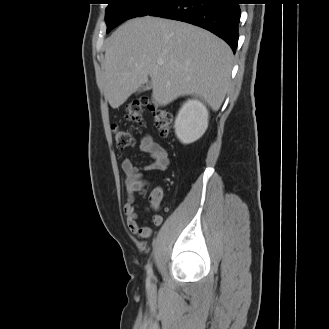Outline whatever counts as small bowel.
<instances>
[{
	"instance_id": "small-bowel-1",
	"label": "small bowel",
	"mask_w": 329,
	"mask_h": 329,
	"mask_svg": "<svg viewBox=\"0 0 329 329\" xmlns=\"http://www.w3.org/2000/svg\"><path fill=\"white\" fill-rule=\"evenodd\" d=\"M140 150L147 154L151 162L143 167L146 171H165L170 163L169 156L165 148H163L158 142H156L150 136H143L140 140ZM122 170L125 175V192L126 203L123 211L126 215V222L128 228L138 237L147 239L152 233V229L148 226H140L138 224V212L135 206V192L145 187L148 182L143 179V174L140 168L134 166L129 158H125L122 161ZM163 199L162 188L156 186L153 188L150 196V207L157 210ZM162 217L160 215H154L152 217V223L154 225H160L162 223Z\"/></svg>"
}]
</instances>
